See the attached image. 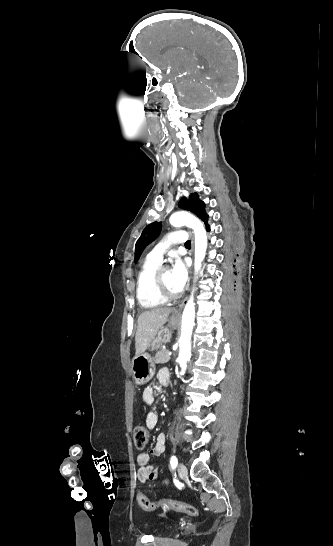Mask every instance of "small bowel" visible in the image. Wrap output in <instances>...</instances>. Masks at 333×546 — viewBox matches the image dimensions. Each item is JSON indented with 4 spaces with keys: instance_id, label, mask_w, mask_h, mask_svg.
I'll list each match as a JSON object with an SVG mask.
<instances>
[{
    "instance_id": "small-bowel-1",
    "label": "small bowel",
    "mask_w": 333,
    "mask_h": 546,
    "mask_svg": "<svg viewBox=\"0 0 333 546\" xmlns=\"http://www.w3.org/2000/svg\"><path fill=\"white\" fill-rule=\"evenodd\" d=\"M157 380L164 386L169 384L170 376L166 368H163L157 373ZM142 399L145 404L152 405L155 402V391L149 386L147 387L142 394ZM158 422V414L156 411H150L146 418L145 424L148 429H154ZM165 435L160 433L157 435L153 448L149 453H140L137 455L136 461L139 465L137 471V478L141 482H147L149 480H156L159 476V469L154 467L150 463L151 456H159L165 450Z\"/></svg>"
}]
</instances>
